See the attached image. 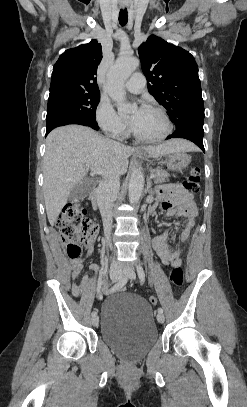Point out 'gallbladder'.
Masks as SVG:
<instances>
[{
	"instance_id": "bac80fb5",
	"label": "gallbladder",
	"mask_w": 247,
	"mask_h": 407,
	"mask_svg": "<svg viewBox=\"0 0 247 407\" xmlns=\"http://www.w3.org/2000/svg\"><path fill=\"white\" fill-rule=\"evenodd\" d=\"M94 187L93 179H85L76 184L69 195V199L73 201L82 200L86 198Z\"/></svg>"
}]
</instances>
